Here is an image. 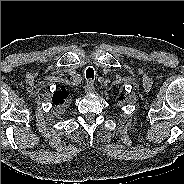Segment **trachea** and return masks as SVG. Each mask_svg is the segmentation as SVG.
<instances>
[{"label":"trachea","mask_w":184,"mask_h":184,"mask_svg":"<svg viewBox=\"0 0 184 184\" xmlns=\"http://www.w3.org/2000/svg\"><path fill=\"white\" fill-rule=\"evenodd\" d=\"M86 78L87 79H93L94 78V70H93V68L89 67L86 70Z\"/></svg>","instance_id":"1"}]
</instances>
